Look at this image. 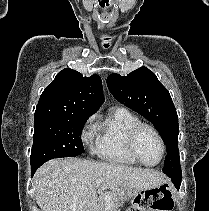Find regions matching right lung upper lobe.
<instances>
[{"label":"right lung upper lobe","instance_id":"right-lung-upper-lobe-1","mask_svg":"<svg viewBox=\"0 0 209 211\" xmlns=\"http://www.w3.org/2000/svg\"><path fill=\"white\" fill-rule=\"evenodd\" d=\"M103 102L102 81L98 75L83 77L66 68L43 91L35 119L91 116Z\"/></svg>","mask_w":209,"mask_h":211}]
</instances>
